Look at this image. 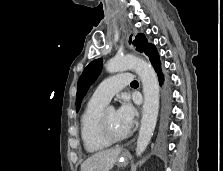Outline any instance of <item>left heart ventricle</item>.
Here are the masks:
<instances>
[{
  "mask_svg": "<svg viewBox=\"0 0 223 171\" xmlns=\"http://www.w3.org/2000/svg\"><path fill=\"white\" fill-rule=\"evenodd\" d=\"M106 121L108 129L113 136L120 137L127 133V131L122 127V125L118 121L115 110H106Z\"/></svg>",
  "mask_w": 223,
  "mask_h": 171,
  "instance_id": "left-heart-ventricle-1",
  "label": "left heart ventricle"
}]
</instances>
